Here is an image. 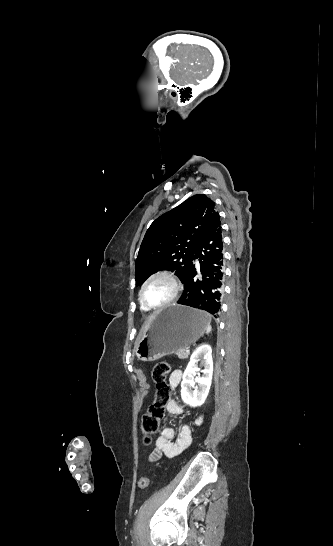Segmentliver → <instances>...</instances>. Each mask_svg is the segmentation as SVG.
<instances>
[{"instance_id": "1", "label": "liver", "mask_w": 333, "mask_h": 546, "mask_svg": "<svg viewBox=\"0 0 333 546\" xmlns=\"http://www.w3.org/2000/svg\"><path fill=\"white\" fill-rule=\"evenodd\" d=\"M153 317H154V315H152V316L149 317V319H148V321H147L145 327L143 328L144 331H146V330L148 329L149 324H150V322L152 321Z\"/></svg>"}]
</instances>
